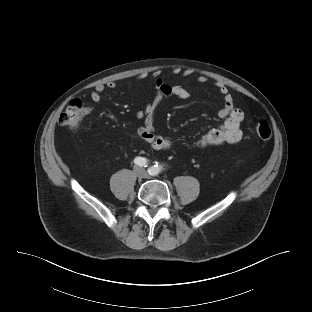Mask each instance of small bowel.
I'll list each match as a JSON object with an SVG mask.
<instances>
[{
	"label": "small bowel",
	"mask_w": 312,
	"mask_h": 312,
	"mask_svg": "<svg viewBox=\"0 0 312 312\" xmlns=\"http://www.w3.org/2000/svg\"><path fill=\"white\" fill-rule=\"evenodd\" d=\"M190 74V70L182 72L183 76H189ZM143 77V75L140 76V78ZM206 81V77H198V82L204 83ZM215 86L223 98V107L219 110L218 115L224 119V122L218 128L212 129L202 135L196 143L197 147L202 148L224 143L233 144L239 142L243 137L241 129L243 113L235 107L234 100L228 88L223 83L218 82ZM115 87L116 83L114 81H110L106 85H97L90 94L92 104H99L101 102V97L105 89H114ZM155 88L156 95L154 99L151 102H147L143 110L137 112L138 118L143 120L142 126L137 129V135L141 140L148 143L152 149L161 151L170 149L173 143L169 138L155 133L154 119L156 110L162 98L175 96L180 99H188L190 92L183 86L170 85L162 79L155 81Z\"/></svg>",
	"instance_id": "c3829d8e"
}]
</instances>
